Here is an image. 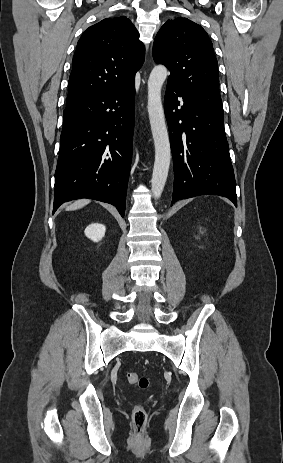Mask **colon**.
<instances>
[{
  "label": "colon",
  "mask_w": 283,
  "mask_h": 463,
  "mask_svg": "<svg viewBox=\"0 0 283 463\" xmlns=\"http://www.w3.org/2000/svg\"><path fill=\"white\" fill-rule=\"evenodd\" d=\"M128 382L136 385L141 390H146L149 387V378L140 376L137 373H129L127 375ZM132 421L135 429V435L141 437L144 433V428L147 422V413L141 404H135L132 409Z\"/></svg>",
  "instance_id": "5ec220e1"
}]
</instances>
